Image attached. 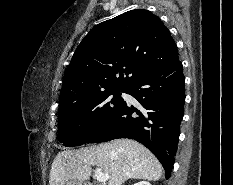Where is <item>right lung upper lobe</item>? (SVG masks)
Returning <instances> with one entry per match:
<instances>
[{"label": "right lung upper lobe", "mask_w": 233, "mask_h": 185, "mask_svg": "<svg viewBox=\"0 0 233 185\" xmlns=\"http://www.w3.org/2000/svg\"><path fill=\"white\" fill-rule=\"evenodd\" d=\"M178 59L170 31L136 9L95 26L77 47L63 79L60 108L109 89H128L144 74Z\"/></svg>", "instance_id": "obj_1"}]
</instances>
